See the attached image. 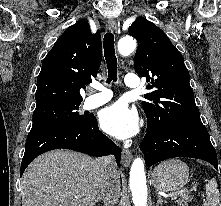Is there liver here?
<instances>
[{"label":"liver","instance_id":"obj_1","mask_svg":"<svg viewBox=\"0 0 221 206\" xmlns=\"http://www.w3.org/2000/svg\"><path fill=\"white\" fill-rule=\"evenodd\" d=\"M103 181L100 159L68 150L50 151L25 170L22 206H94L102 198Z\"/></svg>","mask_w":221,"mask_h":206}]
</instances>
